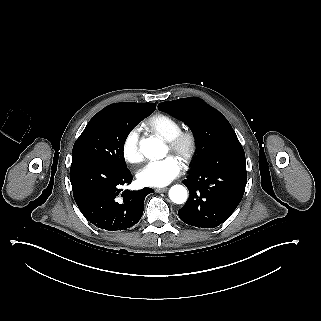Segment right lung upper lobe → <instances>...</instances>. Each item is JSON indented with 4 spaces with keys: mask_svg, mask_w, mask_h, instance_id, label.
<instances>
[{
    "mask_svg": "<svg viewBox=\"0 0 321 321\" xmlns=\"http://www.w3.org/2000/svg\"><path fill=\"white\" fill-rule=\"evenodd\" d=\"M113 116L122 119H137L149 116L156 109V104L152 103H115L104 108Z\"/></svg>",
    "mask_w": 321,
    "mask_h": 321,
    "instance_id": "obj_1",
    "label": "right lung upper lobe"
}]
</instances>
